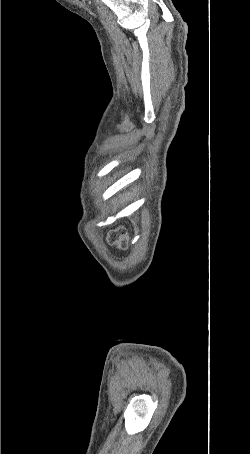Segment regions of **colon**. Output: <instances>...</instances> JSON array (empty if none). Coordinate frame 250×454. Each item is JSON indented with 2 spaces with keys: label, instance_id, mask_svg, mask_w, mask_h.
<instances>
[{
  "label": "colon",
  "instance_id": "5ec220e1",
  "mask_svg": "<svg viewBox=\"0 0 250 454\" xmlns=\"http://www.w3.org/2000/svg\"><path fill=\"white\" fill-rule=\"evenodd\" d=\"M107 242L118 249L126 250L129 247L130 239L124 227H117L108 232Z\"/></svg>",
  "mask_w": 250,
  "mask_h": 454
}]
</instances>
